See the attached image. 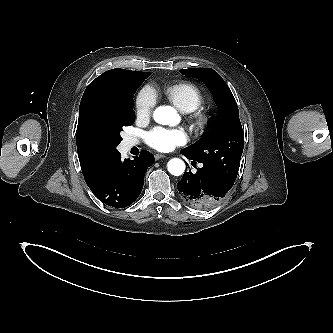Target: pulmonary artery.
Wrapping results in <instances>:
<instances>
[{
    "label": "pulmonary artery",
    "instance_id": "pulmonary-artery-1",
    "mask_svg": "<svg viewBox=\"0 0 333 333\" xmlns=\"http://www.w3.org/2000/svg\"><path fill=\"white\" fill-rule=\"evenodd\" d=\"M126 144H127L128 147H133V146L138 144V140L135 139V138H128L126 140Z\"/></svg>",
    "mask_w": 333,
    "mask_h": 333
}]
</instances>
